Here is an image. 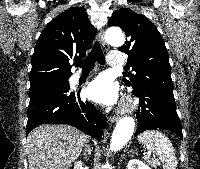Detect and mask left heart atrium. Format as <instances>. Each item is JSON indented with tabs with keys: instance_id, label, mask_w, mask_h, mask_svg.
<instances>
[{
	"instance_id": "obj_1",
	"label": "left heart atrium",
	"mask_w": 200,
	"mask_h": 169,
	"mask_svg": "<svg viewBox=\"0 0 200 169\" xmlns=\"http://www.w3.org/2000/svg\"><path fill=\"white\" fill-rule=\"evenodd\" d=\"M86 96L95 103L112 106L118 103L119 91L117 85L110 78L103 75L88 86Z\"/></svg>"
}]
</instances>
